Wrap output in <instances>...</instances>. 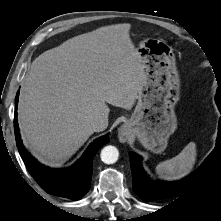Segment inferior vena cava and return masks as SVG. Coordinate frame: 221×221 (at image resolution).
I'll list each match as a JSON object with an SVG mask.
<instances>
[{
    "label": "inferior vena cava",
    "mask_w": 221,
    "mask_h": 221,
    "mask_svg": "<svg viewBox=\"0 0 221 221\" xmlns=\"http://www.w3.org/2000/svg\"><path fill=\"white\" fill-rule=\"evenodd\" d=\"M108 126V118L106 116H97L91 122V128L94 132H100L107 128Z\"/></svg>",
    "instance_id": "1"
}]
</instances>
